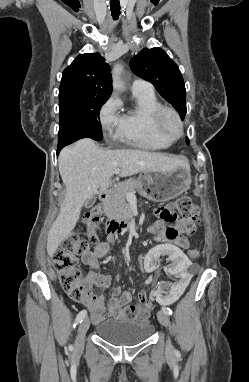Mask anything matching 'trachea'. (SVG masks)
<instances>
[{"label":"trachea","instance_id":"1","mask_svg":"<svg viewBox=\"0 0 249 382\" xmlns=\"http://www.w3.org/2000/svg\"><path fill=\"white\" fill-rule=\"evenodd\" d=\"M110 10H111V15H112L113 19L117 20L119 18V15H120V3L112 1L110 3Z\"/></svg>","mask_w":249,"mask_h":382}]
</instances>
